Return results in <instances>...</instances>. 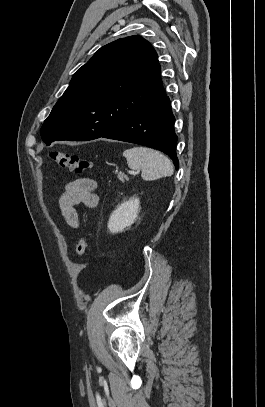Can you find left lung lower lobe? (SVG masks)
Masks as SVG:
<instances>
[{"label":"left lung lower lobe","mask_w":265,"mask_h":407,"mask_svg":"<svg viewBox=\"0 0 265 407\" xmlns=\"http://www.w3.org/2000/svg\"><path fill=\"white\" fill-rule=\"evenodd\" d=\"M175 117L165 94L102 137L152 147L166 153L178 169Z\"/></svg>","instance_id":"1"}]
</instances>
